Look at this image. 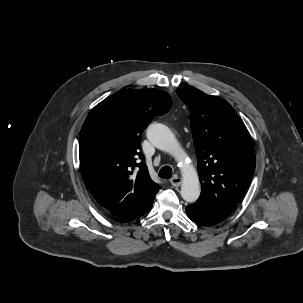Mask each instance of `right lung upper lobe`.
Wrapping results in <instances>:
<instances>
[{"label":"right lung upper lobe","mask_w":303,"mask_h":303,"mask_svg":"<svg viewBox=\"0 0 303 303\" xmlns=\"http://www.w3.org/2000/svg\"><path fill=\"white\" fill-rule=\"evenodd\" d=\"M170 107L165 91L121 90L97 104L82 126L79 158L86 186L120 220L148 212L161 189L149 177L139 149L143 130Z\"/></svg>","instance_id":"cb5924a9"}]
</instances>
